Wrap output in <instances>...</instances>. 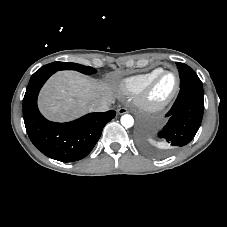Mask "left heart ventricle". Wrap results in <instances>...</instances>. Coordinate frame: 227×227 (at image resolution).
<instances>
[{"mask_svg": "<svg viewBox=\"0 0 227 227\" xmlns=\"http://www.w3.org/2000/svg\"><path fill=\"white\" fill-rule=\"evenodd\" d=\"M174 76L171 73L165 74L156 85L153 97L156 99H161L165 97L174 86Z\"/></svg>", "mask_w": 227, "mask_h": 227, "instance_id": "1", "label": "left heart ventricle"}]
</instances>
